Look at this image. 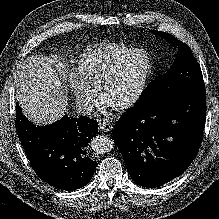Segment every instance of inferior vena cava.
<instances>
[{
	"mask_svg": "<svg viewBox=\"0 0 219 219\" xmlns=\"http://www.w3.org/2000/svg\"><path fill=\"white\" fill-rule=\"evenodd\" d=\"M77 112L83 115H89L93 110V105L88 101L79 100L76 102Z\"/></svg>",
	"mask_w": 219,
	"mask_h": 219,
	"instance_id": "inferior-vena-cava-1",
	"label": "inferior vena cava"
}]
</instances>
